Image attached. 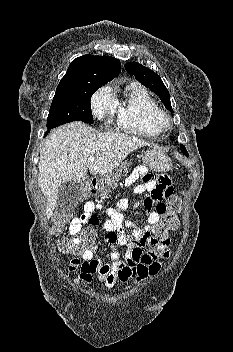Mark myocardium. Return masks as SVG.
Returning <instances> with one entry per match:
<instances>
[{"label":"myocardium","mask_w":233,"mask_h":352,"mask_svg":"<svg viewBox=\"0 0 233 352\" xmlns=\"http://www.w3.org/2000/svg\"><path fill=\"white\" fill-rule=\"evenodd\" d=\"M152 122L161 129H164L169 125V118L166 113L160 110L152 117Z\"/></svg>","instance_id":"myocardium-1"}]
</instances>
